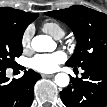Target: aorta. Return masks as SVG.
Listing matches in <instances>:
<instances>
[{
    "instance_id": "1",
    "label": "aorta",
    "mask_w": 107,
    "mask_h": 107,
    "mask_svg": "<svg viewBox=\"0 0 107 107\" xmlns=\"http://www.w3.org/2000/svg\"><path fill=\"white\" fill-rule=\"evenodd\" d=\"M31 46L36 52H52L56 48V43L50 36L38 35L32 39ZM69 81L70 78L66 73H58L55 76V83L59 87L68 86Z\"/></svg>"
}]
</instances>
